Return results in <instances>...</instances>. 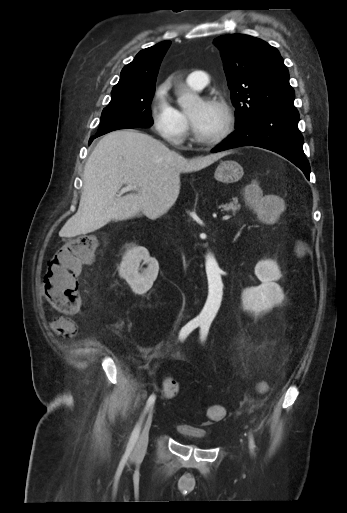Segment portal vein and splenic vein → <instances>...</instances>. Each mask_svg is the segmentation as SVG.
Returning a JSON list of instances; mask_svg holds the SVG:
<instances>
[{
  "mask_svg": "<svg viewBox=\"0 0 347 513\" xmlns=\"http://www.w3.org/2000/svg\"><path fill=\"white\" fill-rule=\"evenodd\" d=\"M136 188L135 186L131 185V184H128L126 187L122 188L121 191L122 192H125V191H128V190H132ZM223 220H229L230 219V216L229 215H225L223 216L222 218Z\"/></svg>",
  "mask_w": 347,
  "mask_h": 513,
  "instance_id": "18ae733b",
  "label": "portal vein and splenic vein"
}]
</instances>
